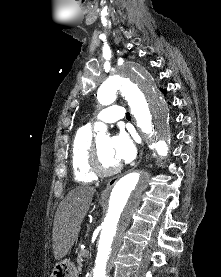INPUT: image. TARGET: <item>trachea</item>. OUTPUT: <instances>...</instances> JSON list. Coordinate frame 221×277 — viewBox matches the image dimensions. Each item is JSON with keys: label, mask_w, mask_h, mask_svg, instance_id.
Returning a JSON list of instances; mask_svg holds the SVG:
<instances>
[{"label": "trachea", "mask_w": 221, "mask_h": 277, "mask_svg": "<svg viewBox=\"0 0 221 277\" xmlns=\"http://www.w3.org/2000/svg\"><path fill=\"white\" fill-rule=\"evenodd\" d=\"M126 118H127V119H131V116H130V113H129V112L126 114Z\"/></svg>", "instance_id": "trachea-1"}]
</instances>
